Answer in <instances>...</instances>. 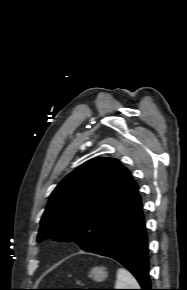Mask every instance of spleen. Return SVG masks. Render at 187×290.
<instances>
[{
    "label": "spleen",
    "mask_w": 187,
    "mask_h": 290,
    "mask_svg": "<svg viewBox=\"0 0 187 290\" xmlns=\"http://www.w3.org/2000/svg\"><path fill=\"white\" fill-rule=\"evenodd\" d=\"M115 289H139V284L129 271L119 268L117 270Z\"/></svg>",
    "instance_id": "1"
}]
</instances>
